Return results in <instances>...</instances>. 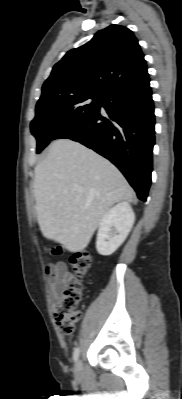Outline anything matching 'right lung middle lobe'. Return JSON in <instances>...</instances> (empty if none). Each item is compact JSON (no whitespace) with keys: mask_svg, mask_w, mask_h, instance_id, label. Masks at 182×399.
<instances>
[{"mask_svg":"<svg viewBox=\"0 0 182 399\" xmlns=\"http://www.w3.org/2000/svg\"><path fill=\"white\" fill-rule=\"evenodd\" d=\"M102 101V95L79 94L38 102L36 116L31 122V132L37 139V153H40L57 134L97 113Z\"/></svg>","mask_w":182,"mask_h":399,"instance_id":"1","label":"right lung middle lobe"}]
</instances>
